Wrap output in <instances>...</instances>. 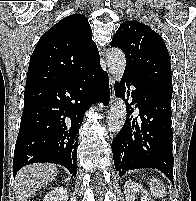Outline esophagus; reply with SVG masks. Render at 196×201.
<instances>
[{"label": "esophagus", "instance_id": "esophagus-1", "mask_svg": "<svg viewBox=\"0 0 196 201\" xmlns=\"http://www.w3.org/2000/svg\"><path fill=\"white\" fill-rule=\"evenodd\" d=\"M110 87H111V90H112V102L114 101V85H113V81H111L110 83Z\"/></svg>", "mask_w": 196, "mask_h": 201}]
</instances>
